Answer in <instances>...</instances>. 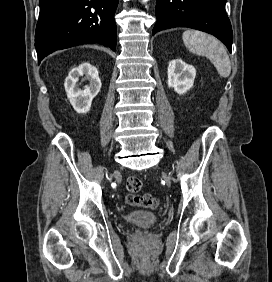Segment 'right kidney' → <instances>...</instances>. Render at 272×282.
<instances>
[{
	"label": "right kidney",
	"mask_w": 272,
	"mask_h": 282,
	"mask_svg": "<svg viewBox=\"0 0 272 282\" xmlns=\"http://www.w3.org/2000/svg\"><path fill=\"white\" fill-rule=\"evenodd\" d=\"M81 76H85L89 80V84L83 90L77 84ZM64 87L74 110L77 113H87L90 110L93 98L101 89V80L97 68L88 62L74 67L66 77Z\"/></svg>",
	"instance_id": "ca27d5eb"
}]
</instances>
